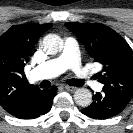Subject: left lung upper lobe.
<instances>
[{"label":"left lung upper lobe","mask_w":133,"mask_h":133,"mask_svg":"<svg viewBox=\"0 0 133 133\" xmlns=\"http://www.w3.org/2000/svg\"><path fill=\"white\" fill-rule=\"evenodd\" d=\"M67 26L78 35L87 52L103 65L95 74L103 92L131 100L133 97V52L128 43L103 24L69 22Z\"/></svg>","instance_id":"left-lung-upper-lobe-1"}]
</instances>
